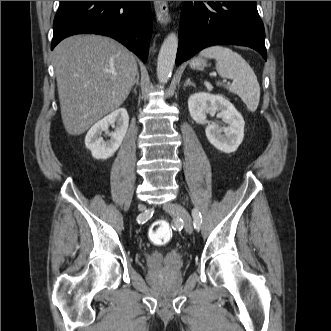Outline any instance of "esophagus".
<instances>
[{"label": "esophagus", "mask_w": 331, "mask_h": 331, "mask_svg": "<svg viewBox=\"0 0 331 331\" xmlns=\"http://www.w3.org/2000/svg\"><path fill=\"white\" fill-rule=\"evenodd\" d=\"M154 8L157 20L161 24H167L170 20L167 1H154Z\"/></svg>", "instance_id": "obj_1"}]
</instances>
